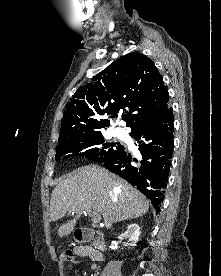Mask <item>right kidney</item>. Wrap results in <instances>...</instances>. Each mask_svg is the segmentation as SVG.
<instances>
[{
  "mask_svg": "<svg viewBox=\"0 0 221 276\" xmlns=\"http://www.w3.org/2000/svg\"><path fill=\"white\" fill-rule=\"evenodd\" d=\"M123 237L127 238L129 242H131L130 246H136V243L139 240L140 236V227L139 225L133 223L128 226L127 230L124 234H122Z\"/></svg>",
  "mask_w": 221,
  "mask_h": 276,
  "instance_id": "obj_1",
  "label": "right kidney"
}]
</instances>
